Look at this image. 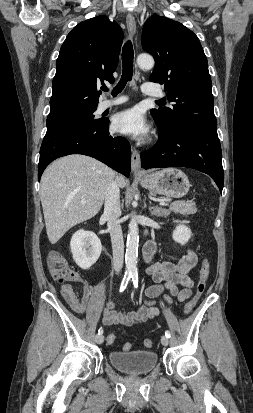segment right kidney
<instances>
[{
  "instance_id": "ca27d5eb",
  "label": "right kidney",
  "mask_w": 253,
  "mask_h": 413,
  "mask_svg": "<svg viewBox=\"0 0 253 413\" xmlns=\"http://www.w3.org/2000/svg\"><path fill=\"white\" fill-rule=\"evenodd\" d=\"M70 248L75 263L87 270L98 260L102 244L94 232L81 229L73 234Z\"/></svg>"
}]
</instances>
